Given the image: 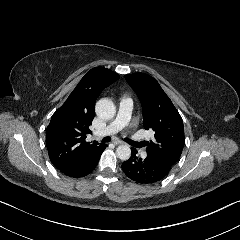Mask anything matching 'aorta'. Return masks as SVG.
I'll return each instance as SVG.
<instances>
[{"instance_id":"762f6f07","label":"aorta","mask_w":240,"mask_h":240,"mask_svg":"<svg viewBox=\"0 0 240 240\" xmlns=\"http://www.w3.org/2000/svg\"><path fill=\"white\" fill-rule=\"evenodd\" d=\"M96 115L104 120H109L114 117L116 107L112 100L101 98L95 104ZM117 156L122 160H127L131 155V149L128 145H119L116 149Z\"/></svg>"}]
</instances>
